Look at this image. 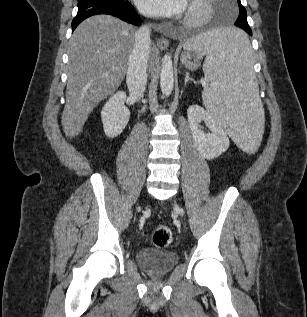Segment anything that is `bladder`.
Segmentation results:
<instances>
[{
  "instance_id": "bladder-1",
  "label": "bladder",
  "mask_w": 307,
  "mask_h": 317,
  "mask_svg": "<svg viewBox=\"0 0 307 317\" xmlns=\"http://www.w3.org/2000/svg\"><path fill=\"white\" fill-rule=\"evenodd\" d=\"M136 258L139 267L152 276L165 275L178 263V255L175 252L151 247L140 248Z\"/></svg>"
}]
</instances>
